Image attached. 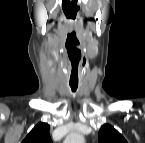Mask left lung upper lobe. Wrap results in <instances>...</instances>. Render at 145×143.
<instances>
[{
	"label": "left lung upper lobe",
	"instance_id": "1",
	"mask_svg": "<svg viewBox=\"0 0 145 143\" xmlns=\"http://www.w3.org/2000/svg\"><path fill=\"white\" fill-rule=\"evenodd\" d=\"M98 138L99 143H126L124 137L109 124L101 127Z\"/></svg>",
	"mask_w": 145,
	"mask_h": 143
}]
</instances>
